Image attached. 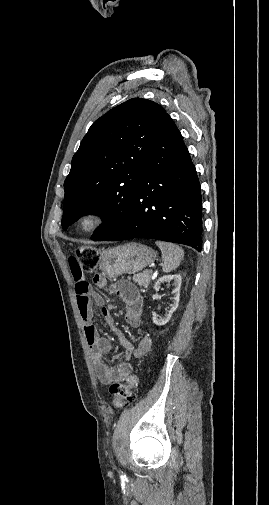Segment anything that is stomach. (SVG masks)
<instances>
[{
    "label": "stomach",
    "instance_id": "1",
    "mask_svg": "<svg viewBox=\"0 0 269 505\" xmlns=\"http://www.w3.org/2000/svg\"><path fill=\"white\" fill-rule=\"evenodd\" d=\"M156 259V252L143 244L130 242L105 249L99 257V268L109 278L122 274H134Z\"/></svg>",
    "mask_w": 269,
    "mask_h": 505
}]
</instances>
